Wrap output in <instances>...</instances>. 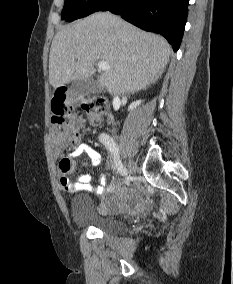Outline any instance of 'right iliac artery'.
Instances as JSON below:
<instances>
[{
  "instance_id": "1",
  "label": "right iliac artery",
  "mask_w": 233,
  "mask_h": 284,
  "mask_svg": "<svg viewBox=\"0 0 233 284\" xmlns=\"http://www.w3.org/2000/svg\"><path fill=\"white\" fill-rule=\"evenodd\" d=\"M99 140L101 143L105 145V147L112 153L114 157V163L118 170V172L121 174L122 172H125L126 175L128 174V171L126 167L122 164L120 158H119V149L113 138H111L108 134L102 133L99 136Z\"/></svg>"
}]
</instances>
